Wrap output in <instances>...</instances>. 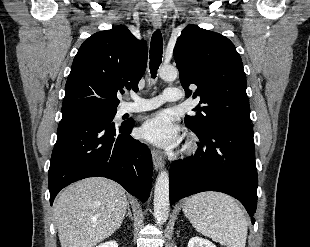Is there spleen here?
<instances>
[{
	"label": "spleen",
	"instance_id": "obj_1",
	"mask_svg": "<svg viewBox=\"0 0 310 247\" xmlns=\"http://www.w3.org/2000/svg\"><path fill=\"white\" fill-rule=\"evenodd\" d=\"M183 212L197 232L227 247H245L248 223L231 196L202 192L188 198Z\"/></svg>",
	"mask_w": 310,
	"mask_h": 247
}]
</instances>
